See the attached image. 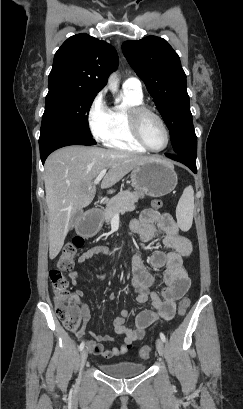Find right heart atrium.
Listing matches in <instances>:
<instances>
[{
	"mask_svg": "<svg viewBox=\"0 0 243 409\" xmlns=\"http://www.w3.org/2000/svg\"><path fill=\"white\" fill-rule=\"evenodd\" d=\"M87 122L92 135L99 141H106L113 132V114L105 101L104 91L97 93L91 101L87 111Z\"/></svg>",
	"mask_w": 243,
	"mask_h": 409,
	"instance_id": "right-heart-atrium-1",
	"label": "right heart atrium"
}]
</instances>
